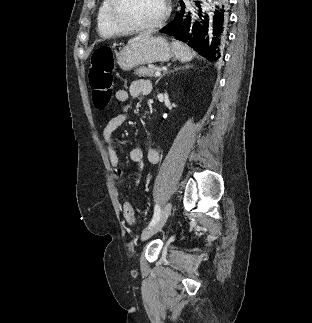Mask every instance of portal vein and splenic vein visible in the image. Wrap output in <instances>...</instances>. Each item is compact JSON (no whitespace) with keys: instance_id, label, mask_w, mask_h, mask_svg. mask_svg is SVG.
Returning a JSON list of instances; mask_svg holds the SVG:
<instances>
[{"instance_id":"1","label":"portal vein and splenic vein","mask_w":312,"mask_h":323,"mask_svg":"<svg viewBox=\"0 0 312 323\" xmlns=\"http://www.w3.org/2000/svg\"><path fill=\"white\" fill-rule=\"evenodd\" d=\"M155 76H161L160 72H155Z\"/></svg>"}]
</instances>
